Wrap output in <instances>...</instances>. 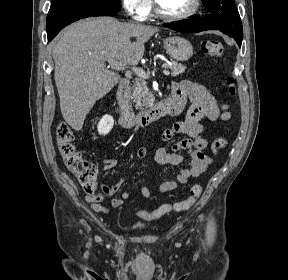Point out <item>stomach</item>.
<instances>
[{
    "instance_id": "0dacf381",
    "label": "stomach",
    "mask_w": 288,
    "mask_h": 280,
    "mask_svg": "<svg viewBox=\"0 0 288 280\" xmlns=\"http://www.w3.org/2000/svg\"><path fill=\"white\" fill-rule=\"evenodd\" d=\"M163 42L167 54L176 61H187L193 55L192 44L183 37H167Z\"/></svg>"
}]
</instances>
